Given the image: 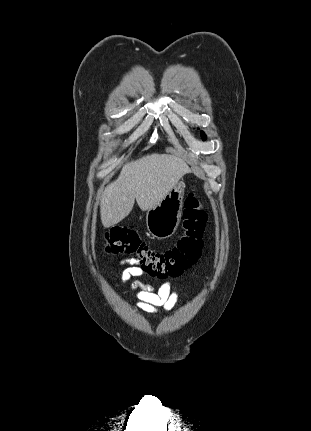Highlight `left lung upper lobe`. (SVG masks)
I'll use <instances>...</instances> for the list:
<instances>
[{
  "label": "left lung upper lobe",
  "instance_id": "obj_1",
  "mask_svg": "<svg viewBox=\"0 0 311 431\" xmlns=\"http://www.w3.org/2000/svg\"><path fill=\"white\" fill-rule=\"evenodd\" d=\"M201 137H202L203 139H205V138H206V136H205L204 132H202V131H201Z\"/></svg>",
  "mask_w": 311,
  "mask_h": 431
}]
</instances>
